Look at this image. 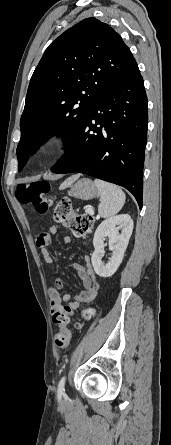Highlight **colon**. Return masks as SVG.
Listing matches in <instances>:
<instances>
[{
  "mask_svg": "<svg viewBox=\"0 0 171 445\" xmlns=\"http://www.w3.org/2000/svg\"><path fill=\"white\" fill-rule=\"evenodd\" d=\"M50 185L46 181H35L31 184H21L16 189V197L18 201L25 207L32 208L39 214H44L53 204V198L49 195ZM53 218L57 223L69 228L74 236L85 237L93 227V218L89 214L75 213L72 202L68 198L59 200L53 210ZM94 315L92 309H85L83 317L89 321ZM54 322L59 326L56 335V344L58 347H66L69 343L70 336L66 329L69 323L68 311L55 315Z\"/></svg>",
  "mask_w": 171,
  "mask_h": 445,
  "instance_id": "1",
  "label": "colon"
}]
</instances>
